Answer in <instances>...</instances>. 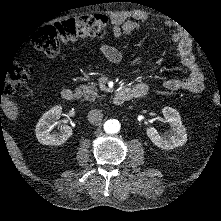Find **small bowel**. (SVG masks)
I'll return each mask as SVG.
<instances>
[{
    "label": "small bowel",
    "instance_id": "1",
    "mask_svg": "<svg viewBox=\"0 0 221 221\" xmlns=\"http://www.w3.org/2000/svg\"><path fill=\"white\" fill-rule=\"evenodd\" d=\"M148 16L140 11L133 12H116L111 15V33L115 39H123L132 32L140 28L139 22H144ZM170 41L177 43L176 56L181 64L188 70V77L184 79L170 78L164 81L163 85L166 89L171 91L186 90L192 93H200L204 88L203 73L191 53L192 44L187 38L179 41V36L176 33H171ZM99 52L110 62L119 64L123 60L122 53L115 47L110 45H102ZM145 86V87H144ZM141 87H144L141 88ZM147 84L142 82H135L131 88H128L133 93V97L142 96L147 91ZM144 90L140 94V90Z\"/></svg>",
    "mask_w": 221,
    "mask_h": 221
}]
</instances>
